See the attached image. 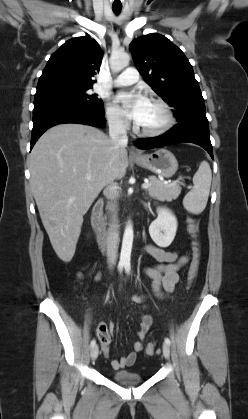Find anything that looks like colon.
<instances>
[{
    "label": "colon",
    "instance_id": "5ec220e1",
    "mask_svg": "<svg viewBox=\"0 0 248 419\" xmlns=\"http://www.w3.org/2000/svg\"><path fill=\"white\" fill-rule=\"evenodd\" d=\"M188 230L193 237V254L192 261L188 270L187 284L190 287L196 280L200 257H201V242L199 237V226L195 219L188 218ZM110 335L108 328L105 326H100L97 331V337L100 342L106 341ZM146 353L148 355H154L156 353V344L149 343L146 347Z\"/></svg>",
    "mask_w": 248,
    "mask_h": 419
}]
</instances>
